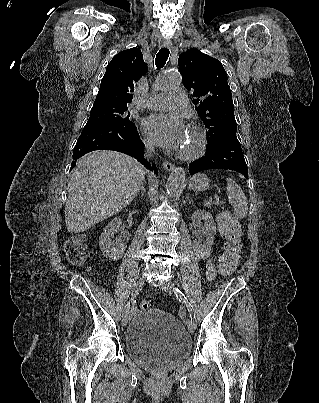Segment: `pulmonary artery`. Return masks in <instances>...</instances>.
Wrapping results in <instances>:
<instances>
[{
	"label": "pulmonary artery",
	"instance_id": "e3ab8cb5",
	"mask_svg": "<svg viewBox=\"0 0 319 403\" xmlns=\"http://www.w3.org/2000/svg\"><path fill=\"white\" fill-rule=\"evenodd\" d=\"M150 108H185L188 105L187 97L180 88L171 89L166 93L152 97L147 102Z\"/></svg>",
	"mask_w": 319,
	"mask_h": 403
}]
</instances>
